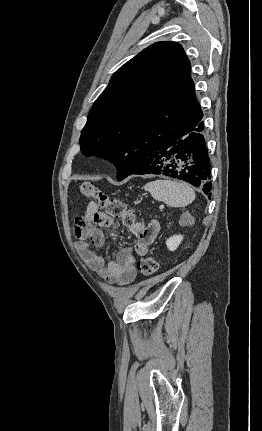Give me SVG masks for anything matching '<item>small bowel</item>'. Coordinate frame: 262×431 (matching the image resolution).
<instances>
[{
	"instance_id": "obj_1",
	"label": "small bowel",
	"mask_w": 262,
	"mask_h": 431,
	"mask_svg": "<svg viewBox=\"0 0 262 431\" xmlns=\"http://www.w3.org/2000/svg\"><path fill=\"white\" fill-rule=\"evenodd\" d=\"M116 226V221L106 213L99 211L96 203L91 201L88 203L84 215L77 221L74 235L91 270L109 283L123 286L134 280L136 276L135 259L148 253L150 245L160 230V223L153 219L147 225L139 222L128 225V231L136 237L133 247L119 249L115 258L106 263L104 258L96 254L90 247H101L104 244V234L101 228H115ZM113 236H117L116 232H113Z\"/></svg>"
}]
</instances>
